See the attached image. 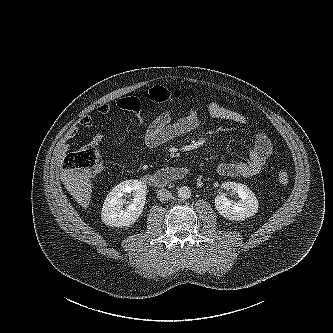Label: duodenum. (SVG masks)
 Listing matches in <instances>:
<instances>
[{"mask_svg":"<svg viewBox=\"0 0 333 333\" xmlns=\"http://www.w3.org/2000/svg\"><path fill=\"white\" fill-rule=\"evenodd\" d=\"M189 175V170L182 166H170L162 168L153 174H147L143 180L155 187H165L168 184L182 180Z\"/></svg>","mask_w":333,"mask_h":333,"instance_id":"410a0bca","label":"duodenum"}]
</instances>
